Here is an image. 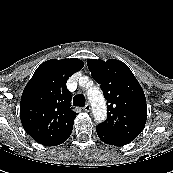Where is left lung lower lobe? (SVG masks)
I'll return each mask as SVG.
<instances>
[{
    "label": "left lung lower lobe",
    "instance_id": "1",
    "mask_svg": "<svg viewBox=\"0 0 173 173\" xmlns=\"http://www.w3.org/2000/svg\"><path fill=\"white\" fill-rule=\"evenodd\" d=\"M96 132L99 138L106 144L114 146H123L130 143L132 140L118 137L100 127H96Z\"/></svg>",
    "mask_w": 173,
    "mask_h": 173
}]
</instances>
